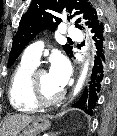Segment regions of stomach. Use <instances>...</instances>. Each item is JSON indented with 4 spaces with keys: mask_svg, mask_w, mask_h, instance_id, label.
Returning <instances> with one entry per match:
<instances>
[{
    "mask_svg": "<svg viewBox=\"0 0 117 136\" xmlns=\"http://www.w3.org/2000/svg\"><path fill=\"white\" fill-rule=\"evenodd\" d=\"M50 116L43 115L35 118L31 125L19 133L18 136H36L50 127Z\"/></svg>",
    "mask_w": 117,
    "mask_h": 136,
    "instance_id": "stomach-1",
    "label": "stomach"
}]
</instances>
